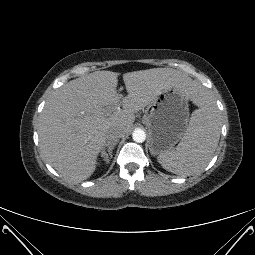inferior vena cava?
Segmentation results:
<instances>
[{"label":"inferior vena cava","mask_w":255,"mask_h":255,"mask_svg":"<svg viewBox=\"0 0 255 255\" xmlns=\"http://www.w3.org/2000/svg\"><path fill=\"white\" fill-rule=\"evenodd\" d=\"M123 135H124V132L122 129L118 127L110 128L106 135V145L110 146L116 143Z\"/></svg>","instance_id":"inferior-vena-cava-1"}]
</instances>
